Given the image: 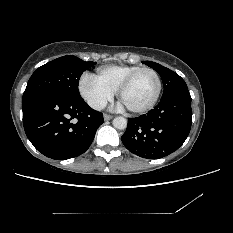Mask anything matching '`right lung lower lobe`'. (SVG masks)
<instances>
[{"mask_svg":"<svg viewBox=\"0 0 233 233\" xmlns=\"http://www.w3.org/2000/svg\"><path fill=\"white\" fill-rule=\"evenodd\" d=\"M23 126L28 139L43 155L66 160L91 145L103 114L80 97L45 92L23 99Z\"/></svg>","mask_w":233,"mask_h":233,"instance_id":"obj_1","label":"right lung lower lobe"}]
</instances>
